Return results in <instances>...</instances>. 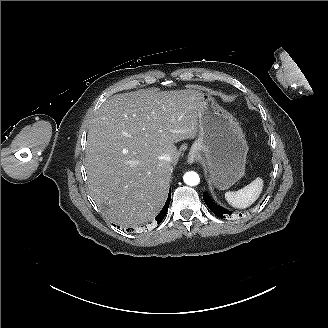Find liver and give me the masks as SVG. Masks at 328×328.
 Masks as SVG:
<instances>
[{
  "mask_svg": "<svg viewBox=\"0 0 328 328\" xmlns=\"http://www.w3.org/2000/svg\"><path fill=\"white\" fill-rule=\"evenodd\" d=\"M202 103L197 90L151 89L115 95L97 110L84 166L105 218L134 227L159 211L179 159L174 144L198 137ZM165 153L170 161L160 159Z\"/></svg>",
  "mask_w": 328,
  "mask_h": 328,
  "instance_id": "1",
  "label": "liver"
}]
</instances>
